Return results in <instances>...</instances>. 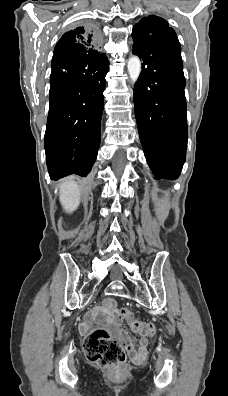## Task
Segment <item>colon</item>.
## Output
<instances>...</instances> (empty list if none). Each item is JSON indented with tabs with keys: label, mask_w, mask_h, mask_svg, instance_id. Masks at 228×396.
I'll use <instances>...</instances> for the list:
<instances>
[{
	"label": "colon",
	"mask_w": 228,
	"mask_h": 396,
	"mask_svg": "<svg viewBox=\"0 0 228 396\" xmlns=\"http://www.w3.org/2000/svg\"><path fill=\"white\" fill-rule=\"evenodd\" d=\"M119 316L128 323L134 332L147 337L155 334L154 324L135 320L129 309L121 308ZM83 347L87 358L104 368L118 369L126 359L122 345L103 328L93 330L86 338Z\"/></svg>",
	"instance_id": "5ec220e1"
}]
</instances>
